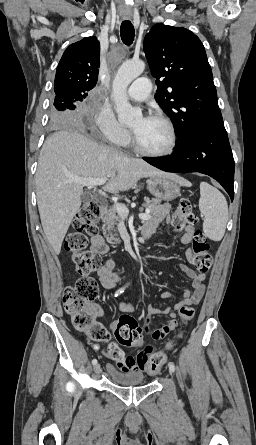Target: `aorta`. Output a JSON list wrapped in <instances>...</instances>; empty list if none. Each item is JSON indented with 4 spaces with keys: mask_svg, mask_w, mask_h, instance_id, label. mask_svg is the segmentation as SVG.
I'll list each match as a JSON object with an SVG mask.
<instances>
[{
    "mask_svg": "<svg viewBox=\"0 0 256 445\" xmlns=\"http://www.w3.org/2000/svg\"><path fill=\"white\" fill-rule=\"evenodd\" d=\"M144 69L143 61H126L122 63L113 80L112 97L120 123L130 124L142 115L141 109L134 108L129 103L126 91L130 83L140 76Z\"/></svg>",
    "mask_w": 256,
    "mask_h": 445,
    "instance_id": "aorta-1",
    "label": "aorta"
}]
</instances>
